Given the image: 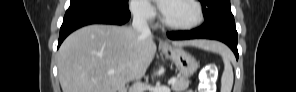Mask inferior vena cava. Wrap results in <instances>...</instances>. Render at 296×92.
Instances as JSON below:
<instances>
[{"instance_id": "inferior-vena-cava-1", "label": "inferior vena cava", "mask_w": 296, "mask_h": 92, "mask_svg": "<svg viewBox=\"0 0 296 92\" xmlns=\"http://www.w3.org/2000/svg\"><path fill=\"white\" fill-rule=\"evenodd\" d=\"M132 27L139 34L150 36L151 31L146 19V9L144 7H137L133 12V22ZM132 92H144V86L136 82L133 85Z\"/></svg>"}]
</instances>
